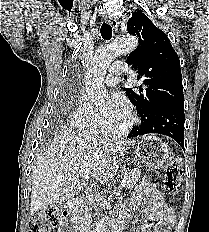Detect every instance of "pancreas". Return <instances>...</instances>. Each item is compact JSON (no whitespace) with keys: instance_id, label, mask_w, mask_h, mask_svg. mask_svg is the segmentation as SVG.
Segmentation results:
<instances>
[{"instance_id":"pancreas-1","label":"pancreas","mask_w":209,"mask_h":232,"mask_svg":"<svg viewBox=\"0 0 209 232\" xmlns=\"http://www.w3.org/2000/svg\"><path fill=\"white\" fill-rule=\"evenodd\" d=\"M139 177H140V169L135 168L126 171L125 178L128 182L126 188L132 189L136 185V182L138 181ZM77 214H78L77 216L78 219H81L82 209H79Z\"/></svg>"}]
</instances>
